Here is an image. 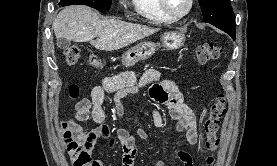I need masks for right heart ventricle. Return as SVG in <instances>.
I'll return each instance as SVG.
<instances>
[{
  "instance_id": "obj_1",
  "label": "right heart ventricle",
  "mask_w": 277,
  "mask_h": 166,
  "mask_svg": "<svg viewBox=\"0 0 277 166\" xmlns=\"http://www.w3.org/2000/svg\"><path fill=\"white\" fill-rule=\"evenodd\" d=\"M134 10L146 21L154 24L171 23L160 9L158 0H132Z\"/></svg>"
}]
</instances>
